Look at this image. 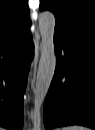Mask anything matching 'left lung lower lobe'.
Segmentation results:
<instances>
[{"label": "left lung lower lobe", "instance_id": "0a47b994", "mask_svg": "<svg viewBox=\"0 0 95 130\" xmlns=\"http://www.w3.org/2000/svg\"><path fill=\"white\" fill-rule=\"evenodd\" d=\"M56 69L44 103L45 130L95 128V41L54 33Z\"/></svg>", "mask_w": 95, "mask_h": 130}]
</instances>
